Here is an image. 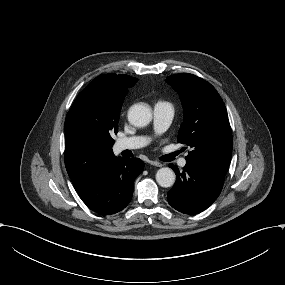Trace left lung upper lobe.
I'll use <instances>...</instances> for the list:
<instances>
[{"instance_id":"obj_1","label":"left lung upper lobe","mask_w":285,"mask_h":285,"mask_svg":"<svg viewBox=\"0 0 285 285\" xmlns=\"http://www.w3.org/2000/svg\"><path fill=\"white\" fill-rule=\"evenodd\" d=\"M179 94L183 123L178 142L191 148L186 162L226 175L231 161L233 140L226 107L216 89L193 74L166 78Z\"/></svg>"}]
</instances>
